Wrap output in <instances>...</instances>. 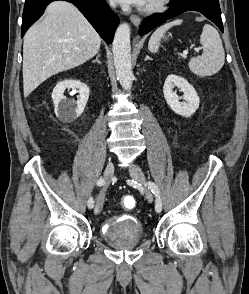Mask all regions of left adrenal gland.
<instances>
[{
  "label": "left adrenal gland",
  "mask_w": 249,
  "mask_h": 294,
  "mask_svg": "<svg viewBox=\"0 0 249 294\" xmlns=\"http://www.w3.org/2000/svg\"><path fill=\"white\" fill-rule=\"evenodd\" d=\"M148 59H150V57L148 55H146L144 60L147 61Z\"/></svg>",
  "instance_id": "left-adrenal-gland-1"
}]
</instances>
